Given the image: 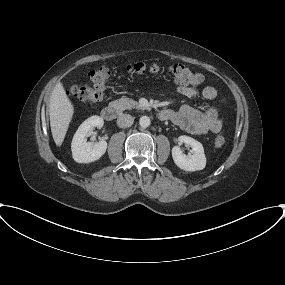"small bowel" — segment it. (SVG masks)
<instances>
[{
  "label": "small bowel",
  "mask_w": 285,
  "mask_h": 285,
  "mask_svg": "<svg viewBox=\"0 0 285 285\" xmlns=\"http://www.w3.org/2000/svg\"><path fill=\"white\" fill-rule=\"evenodd\" d=\"M177 92L187 98L201 97L206 100L218 98V91L212 86L197 89L188 85H179ZM167 117L165 120L173 122L184 131L193 135H204L209 132L218 133L223 126L222 118L218 110L210 107L200 111L189 105H182L178 110L165 109Z\"/></svg>",
  "instance_id": "c3829d8e"
}]
</instances>
